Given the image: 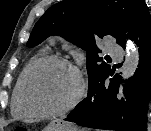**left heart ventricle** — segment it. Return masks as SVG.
<instances>
[{
	"label": "left heart ventricle",
	"instance_id": "left-heart-ventricle-1",
	"mask_svg": "<svg viewBox=\"0 0 151 131\" xmlns=\"http://www.w3.org/2000/svg\"><path fill=\"white\" fill-rule=\"evenodd\" d=\"M76 89L72 71L61 64H49L37 69L27 89L28 105L38 111H53L64 106Z\"/></svg>",
	"mask_w": 151,
	"mask_h": 131
}]
</instances>
